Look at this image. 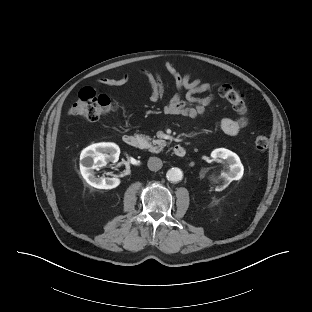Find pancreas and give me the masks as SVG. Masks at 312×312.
I'll use <instances>...</instances> for the list:
<instances>
[{
  "label": "pancreas",
  "mask_w": 312,
  "mask_h": 312,
  "mask_svg": "<svg viewBox=\"0 0 312 312\" xmlns=\"http://www.w3.org/2000/svg\"><path fill=\"white\" fill-rule=\"evenodd\" d=\"M141 148L149 149L150 152L153 153H159L166 145L165 140H153L152 142H149L150 137L147 135H137Z\"/></svg>",
  "instance_id": "1"
}]
</instances>
